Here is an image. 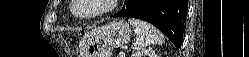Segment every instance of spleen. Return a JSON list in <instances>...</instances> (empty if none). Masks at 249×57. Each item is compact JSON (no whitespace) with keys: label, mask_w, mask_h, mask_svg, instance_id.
<instances>
[{"label":"spleen","mask_w":249,"mask_h":57,"mask_svg":"<svg viewBox=\"0 0 249 57\" xmlns=\"http://www.w3.org/2000/svg\"><path fill=\"white\" fill-rule=\"evenodd\" d=\"M128 22L133 26L136 38L133 47L137 50L144 49L151 44H163V34L153 25L136 18H129Z\"/></svg>","instance_id":"3e777b00"}]
</instances>
